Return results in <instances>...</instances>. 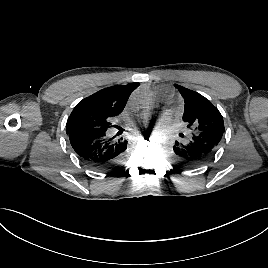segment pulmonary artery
<instances>
[{"label":"pulmonary artery","instance_id":"e3ab8cb5","mask_svg":"<svg viewBox=\"0 0 268 268\" xmlns=\"http://www.w3.org/2000/svg\"><path fill=\"white\" fill-rule=\"evenodd\" d=\"M171 98H172V95H171V94H165V95L163 96V99H164L165 101H170Z\"/></svg>","mask_w":268,"mask_h":268}]
</instances>
